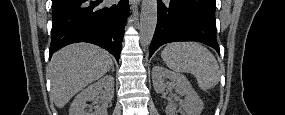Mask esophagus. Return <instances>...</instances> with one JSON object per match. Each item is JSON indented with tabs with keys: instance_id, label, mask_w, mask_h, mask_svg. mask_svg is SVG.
I'll return each instance as SVG.
<instances>
[{
	"instance_id": "esophagus-1",
	"label": "esophagus",
	"mask_w": 285,
	"mask_h": 115,
	"mask_svg": "<svg viewBox=\"0 0 285 115\" xmlns=\"http://www.w3.org/2000/svg\"><path fill=\"white\" fill-rule=\"evenodd\" d=\"M139 2H140V0H130V4H132V5L137 4Z\"/></svg>"
}]
</instances>
